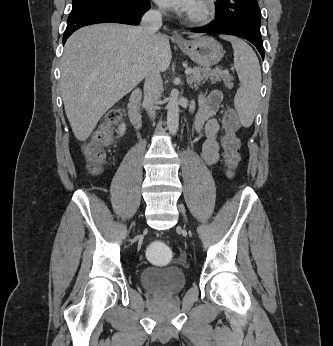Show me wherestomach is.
<instances>
[{"instance_id": "obj_1", "label": "stomach", "mask_w": 333, "mask_h": 346, "mask_svg": "<svg viewBox=\"0 0 333 346\" xmlns=\"http://www.w3.org/2000/svg\"><path fill=\"white\" fill-rule=\"evenodd\" d=\"M178 45L190 59L205 68L219 63L224 55L223 47L212 37H199Z\"/></svg>"}]
</instances>
